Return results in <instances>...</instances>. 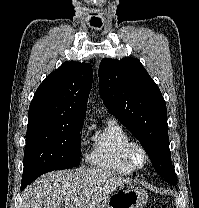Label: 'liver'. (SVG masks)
<instances>
[{
  "instance_id": "liver-1",
  "label": "liver",
  "mask_w": 199,
  "mask_h": 208,
  "mask_svg": "<svg viewBox=\"0 0 199 208\" xmlns=\"http://www.w3.org/2000/svg\"><path fill=\"white\" fill-rule=\"evenodd\" d=\"M103 169H76L49 172L26 187L23 208H94L118 187L129 185Z\"/></svg>"
}]
</instances>
